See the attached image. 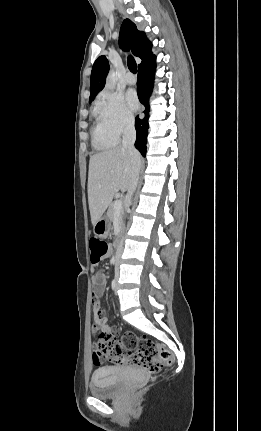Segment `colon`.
Instances as JSON below:
<instances>
[{"instance_id":"1","label":"colon","mask_w":261,"mask_h":431,"mask_svg":"<svg viewBox=\"0 0 261 431\" xmlns=\"http://www.w3.org/2000/svg\"><path fill=\"white\" fill-rule=\"evenodd\" d=\"M90 249L91 262L97 265L107 256L109 246L103 240L92 238ZM98 338L96 356L99 360L94 363L97 369L104 366V360H109L118 364L138 366L154 375L172 363L169 350L133 332L124 333L119 340H116L112 334L104 333H101Z\"/></svg>"}]
</instances>
